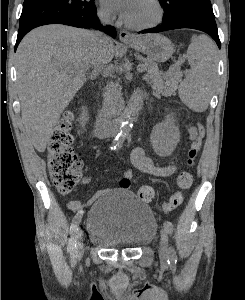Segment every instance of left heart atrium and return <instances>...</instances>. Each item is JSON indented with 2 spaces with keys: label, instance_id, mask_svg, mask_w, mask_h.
<instances>
[{
  "label": "left heart atrium",
  "instance_id": "1",
  "mask_svg": "<svg viewBox=\"0 0 245 300\" xmlns=\"http://www.w3.org/2000/svg\"><path fill=\"white\" fill-rule=\"evenodd\" d=\"M107 5L116 11H120L122 19L126 20L128 9L133 0H103Z\"/></svg>",
  "mask_w": 245,
  "mask_h": 300
}]
</instances>
